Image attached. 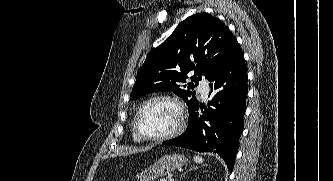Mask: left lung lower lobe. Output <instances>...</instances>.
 <instances>
[{"label": "left lung lower lobe", "instance_id": "left-lung-lower-lobe-1", "mask_svg": "<svg viewBox=\"0 0 333 181\" xmlns=\"http://www.w3.org/2000/svg\"><path fill=\"white\" fill-rule=\"evenodd\" d=\"M211 92L217 91L209 102L213 108L198 104L189 111V124L179 137L163 142L198 152H214L225 161L230 172L234 167L243 131V116L248 93L247 69L240 47L209 79ZM211 92L209 94H211Z\"/></svg>", "mask_w": 333, "mask_h": 181}]
</instances>
